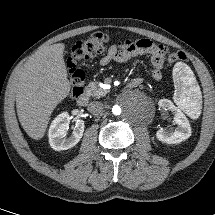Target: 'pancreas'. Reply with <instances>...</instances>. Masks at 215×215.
Returning <instances> with one entry per match:
<instances>
[{"label":"pancreas","instance_id":"pancreas-1","mask_svg":"<svg viewBox=\"0 0 215 215\" xmlns=\"http://www.w3.org/2000/svg\"><path fill=\"white\" fill-rule=\"evenodd\" d=\"M86 91L90 96L95 98L105 96L109 92L108 90L102 89L100 86H98L96 82H90L86 87Z\"/></svg>","mask_w":215,"mask_h":215}]
</instances>
